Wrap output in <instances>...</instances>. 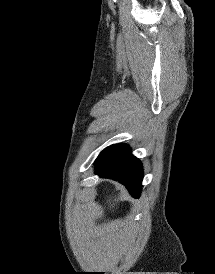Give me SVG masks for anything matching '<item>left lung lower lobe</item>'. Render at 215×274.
I'll use <instances>...</instances> for the list:
<instances>
[{"label":"left lung lower lobe","instance_id":"1","mask_svg":"<svg viewBox=\"0 0 215 274\" xmlns=\"http://www.w3.org/2000/svg\"><path fill=\"white\" fill-rule=\"evenodd\" d=\"M95 174L102 178L119 181L133 197L141 193L142 164L125 144H114L105 148L95 160Z\"/></svg>","mask_w":215,"mask_h":274}]
</instances>
